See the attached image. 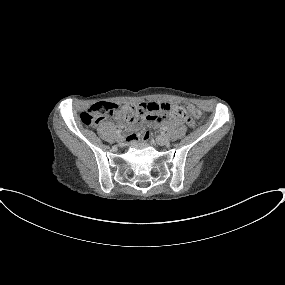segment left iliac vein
I'll list each match as a JSON object with an SVG mask.
<instances>
[{
	"mask_svg": "<svg viewBox=\"0 0 285 285\" xmlns=\"http://www.w3.org/2000/svg\"><path fill=\"white\" fill-rule=\"evenodd\" d=\"M169 136L167 134H162L156 138V142L159 145H167L169 143Z\"/></svg>",
	"mask_w": 285,
	"mask_h": 285,
	"instance_id": "1",
	"label": "left iliac vein"
}]
</instances>
